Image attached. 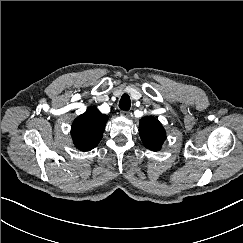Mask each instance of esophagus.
Listing matches in <instances>:
<instances>
[{
  "instance_id": "1",
  "label": "esophagus",
  "mask_w": 243,
  "mask_h": 243,
  "mask_svg": "<svg viewBox=\"0 0 243 243\" xmlns=\"http://www.w3.org/2000/svg\"><path fill=\"white\" fill-rule=\"evenodd\" d=\"M120 115L123 117H129V111H121Z\"/></svg>"
}]
</instances>
